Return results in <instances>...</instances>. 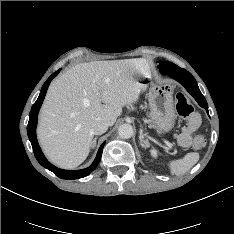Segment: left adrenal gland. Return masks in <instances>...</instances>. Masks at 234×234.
<instances>
[{"mask_svg":"<svg viewBox=\"0 0 234 234\" xmlns=\"http://www.w3.org/2000/svg\"><path fill=\"white\" fill-rule=\"evenodd\" d=\"M139 139H140V145L143 148H148L149 147V141H148V139L144 138V134H143V130L142 129H140Z\"/></svg>","mask_w":234,"mask_h":234,"instance_id":"left-adrenal-gland-1","label":"left adrenal gland"}]
</instances>
